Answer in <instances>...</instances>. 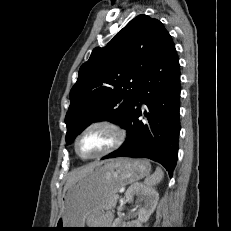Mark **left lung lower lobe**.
I'll return each instance as SVG.
<instances>
[{"label":"left lung lower lobe","instance_id":"obj_1","mask_svg":"<svg viewBox=\"0 0 231 231\" xmlns=\"http://www.w3.org/2000/svg\"><path fill=\"white\" fill-rule=\"evenodd\" d=\"M170 34L141 79V89L123 123V145L102 159L149 158L162 164L172 177L180 132V68ZM147 107L142 110L141 105ZM144 114L146 121L139 120Z\"/></svg>","mask_w":231,"mask_h":231}]
</instances>
